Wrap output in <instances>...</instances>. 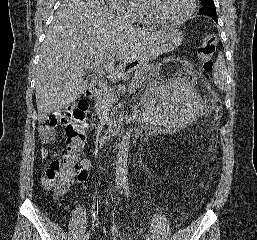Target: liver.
<instances>
[{
  "label": "liver",
  "mask_w": 257,
  "mask_h": 240,
  "mask_svg": "<svg viewBox=\"0 0 257 240\" xmlns=\"http://www.w3.org/2000/svg\"><path fill=\"white\" fill-rule=\"evenodd\" d=\"M165 28L134 27L114 15L103 0H64L40 51L36 77L39 118L60 112L82 95L87 87L82 77L86 63L105 60L108 78L118 80L126 65L140 60Z\"/></svg>",
  "instance_id": "liver-1"
}]
</instances>
